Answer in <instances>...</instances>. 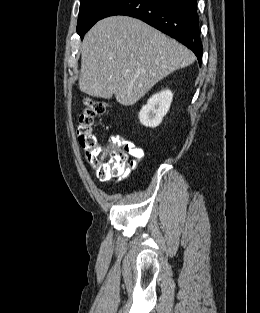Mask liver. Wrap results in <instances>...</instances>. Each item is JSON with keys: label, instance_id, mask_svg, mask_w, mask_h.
<instances>
[{"label": "liver", "instance_id": "1", "mask_svg": "<svg viewBox=\"0 0 260 313\" xmlns=\"http://www.w3.org/2000/svg\"><path fill=\"white\" fill-rule=\"evenodd\" d=\"M195 61L192 51L128 16L98 21L81 46L79 89L93 97L134 105L158 81Z\"/></svg>", "mask_w": 260, "mask_h": 313}]
</instances>
